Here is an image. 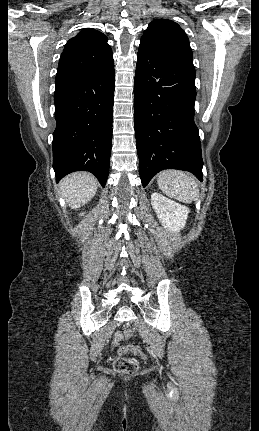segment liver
Masks as SVG:
<instances>
[{
    "mask_svg": "<svg viewBox=\"0 0 259 431\" xmlns=\"http://www.w3.org/2000/svg\"><path fill=\"white\" fill-rule=\"evenodd\" d=\"M60 187L69 207L77 209L94 197L97 192L98 181L90 173L76 172L66 176L60 182Z\"/></svg>",
    "mask_w": 259,
    "mask_h": 431,
    "instance_id": "1",
    "label": "liver"
}]
</instances>
